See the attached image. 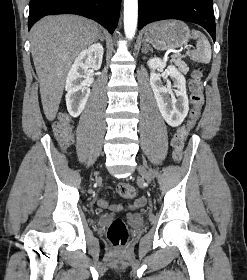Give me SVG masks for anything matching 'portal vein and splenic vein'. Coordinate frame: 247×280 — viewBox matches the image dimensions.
<instances>
[{
    "label": "portal vein and splenic vein",
    "instance_id": "obj_1",
    "mask_svg": "<svg viewBox=\"0 0 247 280\" xmlns=\"http://www.w3.org/2000/svg\"><path fill=\"white\" fill-rule=\"evenodd\" d=\"M179 55H180V54H179L178 52H176L175 54H173V55L171 56V58H172V59L177 58V57H179Z\"/></svg>",
    "mask_w": 247,
    "mask_h": 280
}]
</instances>
